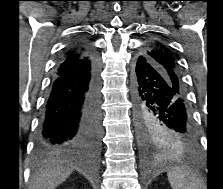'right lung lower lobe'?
Segmentation results:
<instances>
[{"label": "right lung lower lobe", "mask_w": 223, "mask_h": 189, "mask_svg": "<svg viewBox=\"0 0 223 189\" xmlns=\"http://www.w3.org/2000/svg\"><path fill=\"white\" fill-rule=\"evenodd\" d=\"M99 86L96 58L90 68L79 75L54 72L40 118L38 152L58 153L83 147L92 155L97 153L101 132Z\"/></svg>", "instance_id": "1"}]
</instances>
